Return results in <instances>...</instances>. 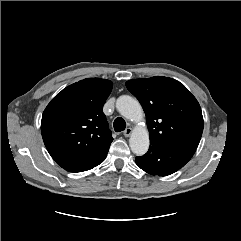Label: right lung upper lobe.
I'll return each instance as SVG.
<instances>
[{
	"mask_svg": "<svg viewBox=\"0 0 241 241\" xmlns=\"http://www.w3.org/2000/svg\"><path fill=\"white\" fill-rule=\"evenodd\" d=\"M112 86L106 79L81 80L64 88L44 110L43 141L59 166L88 159L110 147L113 138L102 109Z\"/></svg>",
	"mask_w": 241,
	"mask_h": 241,
	"instance_id": "cb5924a9",
	"label": "right lung upper lobe"
}]
</instances>
